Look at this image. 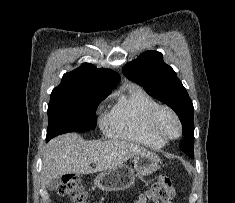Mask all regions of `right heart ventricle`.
Segmentation results:
<instances>
[{
  "label": "right heart ventricle",
  "instance_id": "obj_1",
  "mask_svg": "<svg viewBox=\"0 0 235 203\" xmlns=\"http://www.w3.org/2000/svg\"><path fill=\"white\" fill-rule=\"evenodd\" d=\"M114 98L115 103L104 120L111 136L151 148L165 145L147 130L148 116L159 105L154 98L138 86L118 91Z\"/></svg>",
  "mask_w": 235,
  "mask_h": 203
}]
</instances>
